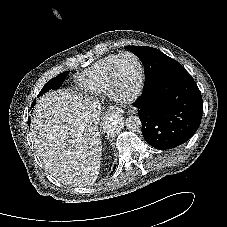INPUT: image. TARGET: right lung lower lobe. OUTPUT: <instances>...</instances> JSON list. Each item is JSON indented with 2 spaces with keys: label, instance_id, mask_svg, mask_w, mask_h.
Masks as SVG:
<instances>
[{
  "label": "right lung lower lobe",
  "instance_id": "1",
  "mask_svg": "<svg viewBox=\"0 0 227 227\" xmlns=\"http://www.w3.org/2000/svg\"><path fill=\"white\" fill-rule=\"evenodd\" d=\"M115 168H116V166L113 168V171L115 170ZM113 171H112V172H113Z\"/></svg>",
  "mask_w": 227,
  "mask_h": 227
}]
</instances>
